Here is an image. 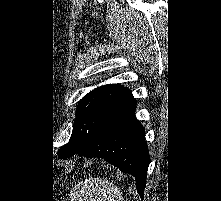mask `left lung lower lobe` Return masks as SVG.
I'll return each mask as SVG.
<instances>
[{
	"label": "left lung lower lobe",
	"instance_id": "obj_1",
	"mask_svg": "<svg viewBox=\"0 0 221 201\" xmlns=\"http://www.w3.org/2000/svg\"><path fill=\"white\" fill-rule=\"evenodd\" d=\"M135 108L132 95L114 106L77 153L86 158H104L122 172L133 175L142 198L150 158L144 128L135 117Z\"/></svg>",
	"mask_w": 221,
	"mask_h": 201
}]
</instances>
